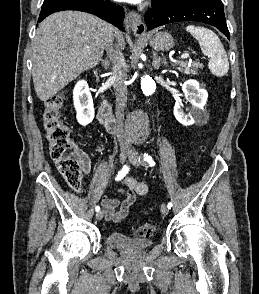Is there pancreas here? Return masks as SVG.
Returning <instances> with one entry per match:
<instances>
[{
  "label": "pancreas",
  "instance_id": "pancreas-1",
  "mask_svg": "<svg viewBox=\"0 0 259 294\" xmlns=\"http://www.w3.org/2000/svg\"><path fill=\"white\" fill-rule=\"evenodd\" d=\"M203 68V64L200 62H192L190 65L187 62H179L177 69L187 75H197L199 69Z\"/></svg>",
  "mask_w": 259,
  "mask_h": 294
}]
</instances>
